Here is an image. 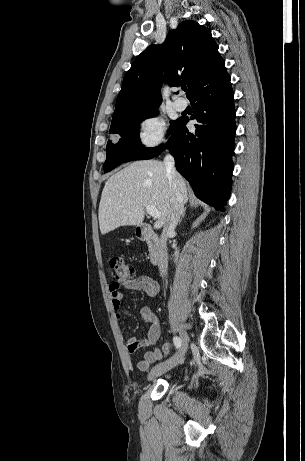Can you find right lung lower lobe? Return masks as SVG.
I'll return each mask as SVG.
<instances>
[{
	"instance_id": "obj_1",
	"label": "right lung lower lobe",
	"mask_w": 305,
	"mask_h": 461,
	"mask_svg": "<svg viewBox=\"0 0 305 461\" xmlns=\"http://www.w3.org/2000/svg\"><path fill=\"white\" fill-rule=\"evenodd\" d=\"M190 101L195 110L191 118L198 121L195 133L185 128L188 119H178L168 142L153 157L168 149L175 157L177 171L190 183L195 195L224 211L231 190L236 131L228 73L197 91Z\"/></svg>"
}]
</instances>
